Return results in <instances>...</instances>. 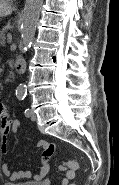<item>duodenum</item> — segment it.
<instances>
[{"mask_svg": "<svg viewBox=\"0 0 119 185\" xmlns=\"http://www.w3.org/2000/svg\"><path fill=\"white\" fill-rule=\"evenodd\" d=\"M15 69L18 73L23 74L26 71V61L22 57H17L14 62Z\"/></svg>", "mask_w": 119, "mask_h": 185, "instance_id": "1", "label": "duodenum"}]
</instances>
